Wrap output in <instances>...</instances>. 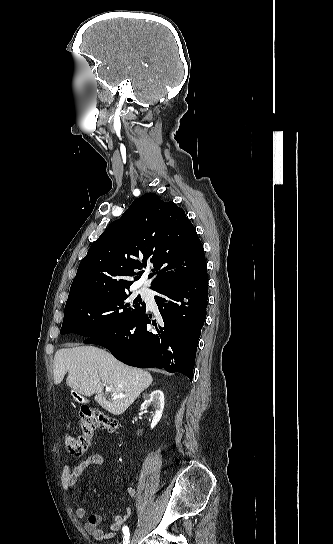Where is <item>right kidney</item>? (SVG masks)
I'll use <instances>...</instances> for the list:
<instances>
[{
    "mask_svg": "<svg viewBox=\"0 0 333 544\" xmlns=\"http://www.w3.org/2000/svg\"><path fill=\"white\" fill-rule=\"evenodd\" d=\"M150 406H153L154 412L152 414L151 428H154L162 417L164 409V394L161 390H155L150 394V397L144 401L141 405V409L147 410Z\"/></svg>",
    "mask_w": 333,
    "mask_h": 544,
    "instance_id": "ca27d5eb",
    "label": "right kidney"
}]
</instances>
